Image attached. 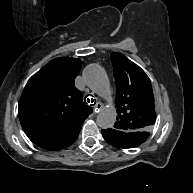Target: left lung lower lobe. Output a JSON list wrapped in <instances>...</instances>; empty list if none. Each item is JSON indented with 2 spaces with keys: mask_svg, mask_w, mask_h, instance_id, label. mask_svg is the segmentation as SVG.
I'll return each mask as SVG.
<instances>
[{
  "mask_svg": "<svg viewBox=\"0 0 193 193\" xmlns=\"http://www.w3.org/2000/svg\"><path fill=\"white\" fill-rule=\"evenodd\" d=\"M104 139L113 146L121 148H134L142 144L149 136L148 132L136 135L134 133H125L114 129L102 130Z\"/></svg>",
  "mask_w": 193,
  "mask_h": 193,
  "instance_id": "obj_1",
  "label": "left lung lower lobe"
}]
</instances>
